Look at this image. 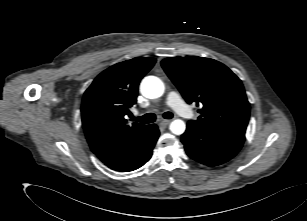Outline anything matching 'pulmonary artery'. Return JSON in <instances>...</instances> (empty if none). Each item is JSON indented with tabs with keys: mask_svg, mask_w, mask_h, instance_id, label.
<instances>
[{
	"mask_svg": "<svg viewBox=\"0 0 307 221\" xmlns=\"http://www.w3.org/2000/svg\"><path fill=\"white\" fill-rule=\"evenodd\" d=\"M166 105L172 108L179 115H185L187 113V107L183 103L179 93L176 91H170L167 94Z\"/></svg>",
	"mask_w": 307,
	"mask_h": 221,
	"instance_id": "obj_1",
	"label": "pulmonary artery"
}]
</instances>
